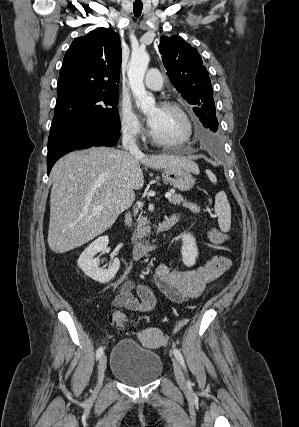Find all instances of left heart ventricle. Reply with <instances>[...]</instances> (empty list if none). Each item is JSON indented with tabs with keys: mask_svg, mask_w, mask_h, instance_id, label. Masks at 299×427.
I'll return each instance as SVG.
<instances>
[{
	"mask_svg": "<svg viewBox=\"0 0 299 427\" xmlns=\"http://www.w3.org/2000/svg\"><path fill=\"white\" fill-rule=\"evenodd\" d=\"M149 115L154 116L151 128L156 136L162 139L174 140L181 138L186 131L184 121L180 115L172 109L153 107Z\"/></svg>",
	"mask_w": 299,
	"mask_h": 427,
	"instance_id": "1",
	"label": "left heart ventricle"
}]
</instances>
